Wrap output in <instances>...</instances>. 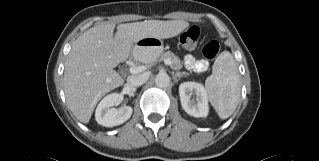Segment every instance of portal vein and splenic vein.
Listing matches in <instances>:
<instances>
[{
  "instance_id": "portal-vein-and-splenic-vein-1",
  "label": "portal vein and splenic vein",
  "mask_w": 319,
  "mask_h": 161,
  "mask_svg": "<svg viewBox=\"0 0 319 161\" xmlns=\"http://www.w3.org/2000/svg\"><path fill=\"white\" fill-rule=\"evenodd\" d=\"M164 63H165L166 65H170V64H171L170 60H168V59L164 60ZM144 70H145V67H144V66H132V67L130 68V72L133 73V74L142 72V71H144Z\"/></svg>"
}]
</instances>
